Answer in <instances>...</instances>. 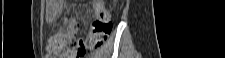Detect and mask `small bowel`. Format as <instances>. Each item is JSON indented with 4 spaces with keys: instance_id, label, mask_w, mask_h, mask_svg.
<instances>
[{
    "instance_id": "obj_1",
    "label": "small bowel",
    "mask_w": 225,
    "mask_h": 58,
    "mask_svg": "<svg viewBox=\"0 0 225 58\" xmlns=\"http://www.w3.org/2000/svg\"><path fill=\"white\" fill-rule=\"evenodd\" d=\"M63 3L59 0H48L46 5L47 16L53 20L55 15L62 9Z\"/></svg>"
}]
</instances>
